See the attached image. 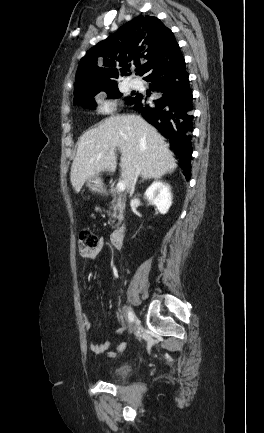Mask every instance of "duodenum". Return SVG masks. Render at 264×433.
Here are the masks:
<instances>
[{"mask_svg": "<svg viewBox=\"0 0 264 433\" xmlns=\"http://www.w3.org/2000/svg\"><path fill=\"white\" fill-rule=\"evenodd\" d=\"M126 229L127 225L123 222L110 233V242L114 247H119L122 244Z\"/></svg>", "mask_w": 264, "mask_h": 433, "instance_id": "obj_1", "label": "duodenum"}]
</instances>
